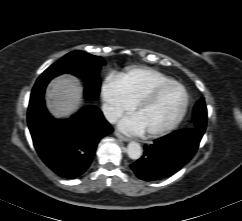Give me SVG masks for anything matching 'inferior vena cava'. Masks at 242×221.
<instances>
[{
    "label": "inferior vena cava",
    "instance_id": "obj_1",
    "mask_svg": "<svg viewBox=\"0 0 242 221\" xmlns=\"http://www.w3.org/2000/svg\"><path fill=\"white\" fill-rule=\"evenodd\" d=\"M102 111L105 116V118L110 122V123H115L118 118H119V113L115 110L114 107L111 105L104 103L102 105Z\"/></svg>",
    "mask_w": 242,
    "mask_h": 221
}]
</instances>
